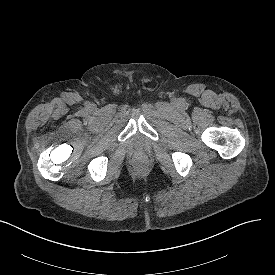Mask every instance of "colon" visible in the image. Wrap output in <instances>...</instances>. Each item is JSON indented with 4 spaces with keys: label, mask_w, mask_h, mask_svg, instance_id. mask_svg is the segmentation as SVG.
<instances>
[{
    "label": "colon",
    "mask_w": 275,
    "mask_h": 275,
    "mask_svg": "<svg viewBox=\"0 0 275 275\" xmlns=\"http://www.w3.org/2000/svg\"><path fill=\"white\" fill-rule=\"evenodd\" d=\"M136 168L139 172H143L145 170V164L143 162H139Z\"/></svg>",
    "instance_id": "colon-1"
}]
</instances>
